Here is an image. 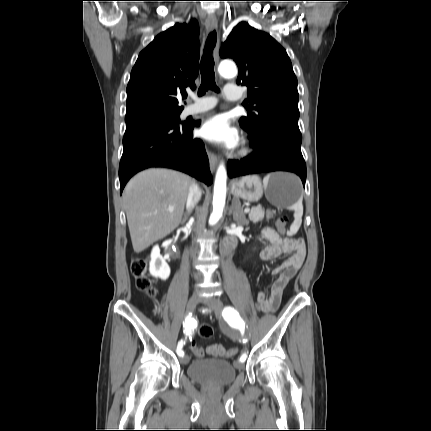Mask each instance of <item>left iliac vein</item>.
Returning a JSON list of instances; mask_svg holds the SVG:
<instances>
[{
	"label": "left iliac vein",
	"mask_w": 431,
	"mask_h": 431,
	"mask_svg": "<svg viewBox=\"0 0 431 431\" xmlns=\"http://www.w3.org/2000/svg\"><path fill=\"white\" fill-rule=\"evenodd\" d=\"M201 302L203 304L207 305L208 307H210L214 311V313L217 317L221 316L222 309H223V303L220 299L215 298V297H204L201 299ZM235 366L238 369H242L244 367V364L241 361H236Z\"/></svg>",
	"instance_id": "4c4485c4"
}]
</instances>
